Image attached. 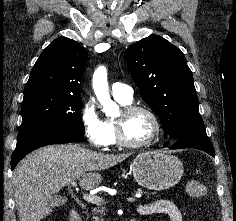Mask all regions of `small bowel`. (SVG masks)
<instances>
[{
  "mask_svg": "<svg viewBox=\"0 0 236 221\" xmlns=\"http://www.w3.org/2000/svg\"><path fill=\"white\" fill-rule=\"evenodd\" d=\"M138 214L142 216L166 215L170 221H182V214L175 204L170 200H157L151 203L141 204L137 208Z\"/></svg>",
  "mask_w": 236,
  "mask_h": 221,
  "instance_id": "c3829d8e",
  "label": "small bowel"
}]
</instances>
